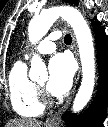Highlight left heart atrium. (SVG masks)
<instances>
[{
  "label": "left heart atrium",
  "instance_id": "1",
  "mask_svg": "<svg viewBox=\"0 0 108 127\" xmlns=\"http://www.w3.org/2000/svg\"><path fill=\"white\" fill-rule=\"evenodd\" d=\"M74 72L73 61L68 55L54 56L49 63L47 90L55 96L65 94L71 87Z\"/></svg>",
  "mask_w": 108,
  "mask_h": 127
}]
</instances>
